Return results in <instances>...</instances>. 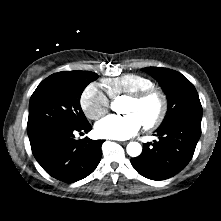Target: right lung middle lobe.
<instances>
[{
  "label": "right lung middle lobe",
  "instance_id": "obj_1",
  "mask_svg": "<svg viewBox=\"0 0 221 221\" xmlns=\"http://www.w3.org/2000/svg\"><path fill=\"white\" fill-rule=\"evenodd\" d=\"M97 78L98 75L90 71H63L43 80L30 99L28 135L47 125L88 123L80 97L85 87Z\"/></svg>",
  "mask_w": 221,
  "mask_h": 221
}]
</instances>
